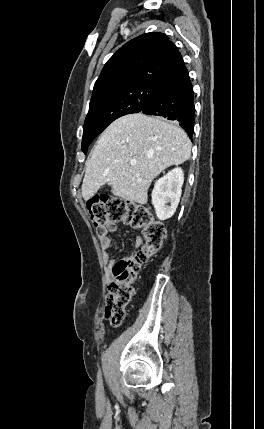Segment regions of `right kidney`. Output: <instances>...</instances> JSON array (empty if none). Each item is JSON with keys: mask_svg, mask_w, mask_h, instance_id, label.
<instances>
[{"mask_svg": "<svg viewBox=\"0 0 264 429\" xmlns=\"http://www.w3.org/2000/svg\"><path fill=\"white\" fill-rule=\"evenodd\" d=\"M183 182L184 173L179 167L156 181L151 196L159 220H166L174 215L180 201Z\"/></svg>", "mask_w": 264, "mask_h": 429, "instance_id": "1", "label": "right kidney"}]
</instances>
